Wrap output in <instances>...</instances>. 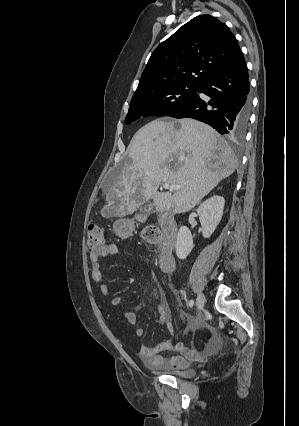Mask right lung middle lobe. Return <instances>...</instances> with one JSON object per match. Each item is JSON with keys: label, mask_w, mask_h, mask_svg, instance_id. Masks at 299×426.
I'll list each match as a JSON object with an SVG mask.
<instances>
[{"label": "right lung middle lobe", "mask_w": 299, "mask_h": 426, "mask_svg": "<svg viewBox=\"0 0 299 426\" xmlns=\"http://www.w3.org/2000/svg\"><path fill=\"white\" fill-rule=\"evenodd\" d=\"M197 84H177L132 100L125 124L143 116L170 115L184 106L197 92Z\"/></svg>", "instance_id": "1"}]
</instances>
